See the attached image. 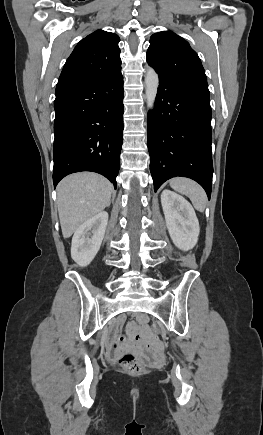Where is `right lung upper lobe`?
<instances>
[{"mask_svg": "<svg viewBox=\"0 0 263 435\" xmlns=\"http://www.w3.org/2000/svg\"><path fill=\"white\" fill-rule=\"evenodd\" d=\"M118 35L97 30L82 39L67 59L56 91L104 78L121 69Z\"/></svg>", "mask_w": 263, "mask_h": 435, "instance_id": "cb5924a9", "label": "right lung upper lobe"}]
</instances>
